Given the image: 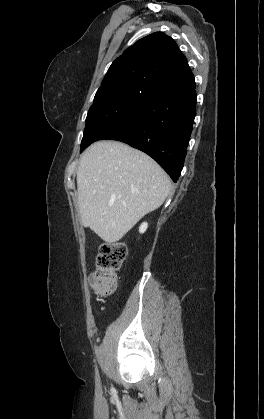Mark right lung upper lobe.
<instances>
[{"label": "right lung upper lobe", "mask_w": 264, "mask_h": 419, "mask_svg": "<svg viewBox=\"0 0 264 419\" xmlns=\"http://www.w3.org/2000/svg\"><path fill=\"white\" fill-rule=\"evenodd\" d=\"M117 84L132 85L158 95L189 88L195 82L175 41L163 32H156L138 40L115 59L100 88Z\"/></svg>", "instance_id": "cb5924a9"}]
</instances>
